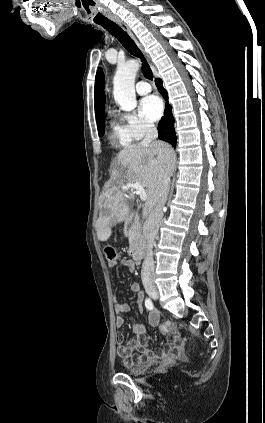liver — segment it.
<instances>
[{
    "label": "liver",
    "instance_id": "liver-1",
    "mask_svg": "<svg viewBox=\"0 0 265 423\" xmlns=\"http://www.w3.org/2000/svg\"><path fill=\"white\" fill-rule=\"evenodd\" d=\"M175 154L167 143L157 141L149 146L130 145L122 149L112 167L110 180L101 195L102 212L96 222L97 237L106 241L111 226L123 221L129 213V201L135 199L134 189H123L124 182L139 183L145 188L147 199L142 210L143 219L153 211L163 180V166L172 173Z\"/></svg>",
    "mask_w": 265,
    "mask_h": 423
}]
</instances>
